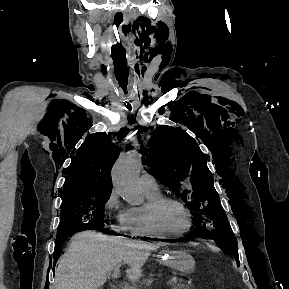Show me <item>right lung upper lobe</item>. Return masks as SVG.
<instances>
[{
	"mask_svg": "<svg viewBox=\"0 0 289 289\" xmlns=\"http://www.w3.org/2000/svg\"><path fill=\"white\" fill-rule=\"evenodd\" d=\"M120 150L104 133L87 138L67 169L62 198L111 192V168Z\"/></svg>",
	"mask_w": 289,
	"mask_h": 289,
	"instance_id": "1",
	"label": "right lung upper lobe"
}]
</instances>
